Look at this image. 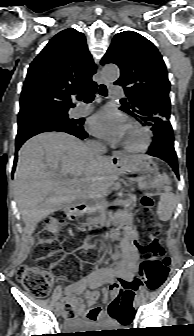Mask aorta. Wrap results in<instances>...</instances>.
<instances>
[{
	"label": "aorta",
	"mask_w": 194,
	"mask_h": 336,
	"mask_svg": "<svg viewBox=\"0 0 194 336\" xmlns=\"http://www.w3.org/2000/svg\"><path fill=\"white\" fill-rule=\"evenodd\" d=\"M102 76L107 81H115L119 77V69L116 65H106L102 69Z\"/></svg>",
	"instance_id": "1"
}]
</instances>
